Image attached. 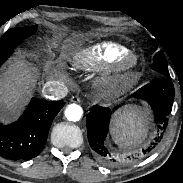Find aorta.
Masks as SVG:
<instances>
[{
  "label": "aorta",
  "instance_id": "aorta-1",
  "mask_svg": "<svg viewBox=\"0 0 183 183\" xmlns=\"http://www.w3.org/2000/svg\"><path fill=\"white\" fill-rule=\"evenodd\" d=\"M83 115V109L77 104L69 105L65 110V117L69 121H79Z\"/></svg>",
  "mask_w": 183,
  "mask_h": 183
}]
</instances>
